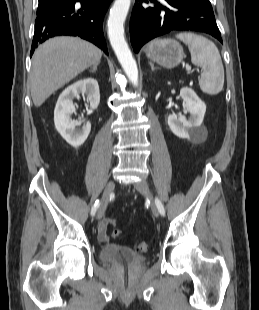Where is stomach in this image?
Returning <instances> with one entry per match:
<instances>
[{"instance_id": "1", "label": "stomach", "mask_w": 259, "mask_h": 310, "mask_svg": "<svg viewBox=\"0 0 259 310\" xmlns=\"http://www.w3.org/2000/svg\"><path fill=\"white\" fill-rule=\"evenodd\" d=\"M146 56L165 68H174L184 58V51L175 40H155L148 45Z\"/></svg>"}]
</instances>
